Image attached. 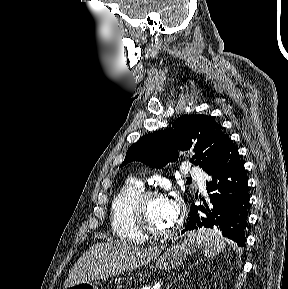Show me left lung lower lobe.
<instances>
[{
  "label": "left lung lower lobe",
  "instance_id": "1",
  "mask_svg": "<svg viewBox=\"0 0 288 289\" xmlns=\"http://www.w3.org/2000/svg\"><path fill=\"white\" fill-rule=\"evenodd\" d=\"M206 173L210 176L206 183L209 197L201 199L203 204L199 206L191 205L190 218L183 233L198 227L220 229L238 246H244L248 181L238 151L230 139Z\"/></svg>",
  "mask_w": 288,
  "mask_h": 289
}]
</instances>
